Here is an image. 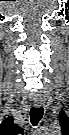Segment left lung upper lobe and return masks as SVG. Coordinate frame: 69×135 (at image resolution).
Listing matches in <instances>:
<instances>
[{
  "label": "left lung upper lobe",
  "mask_w": 69,
  "mask_h": 135,
  "mask_svg": "<svg viewBox=\"0 0 69 135\" xmlns=\"http://www.w3.org/2000/svg\"><path fill=\"white\" fill-rule=\"evenodd\" d=\"M65 116H66V115H65L64 111H61V112H60V118L65 117Z\"/></svg>",
  "instance_id": "obj_1"
}]
</instances>
